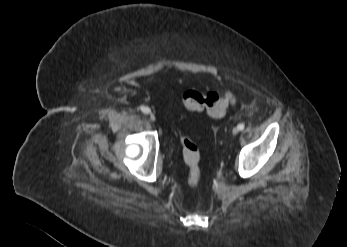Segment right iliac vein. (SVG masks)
<instances>
[{"mask_svg":"<svg viewBox=\"0 0 347 247\" xmlns=\"http://www.w3.org/2000/svg\"><path fill=\"white\" fill-rule=\"evenodd\" d=\"M149 119H150V121H152V122H154V121L156 120L154 114H152V113L149 114Z\"/></svg>","mask_w":347,"mask_h":247,"instance_id":"1","label":"right iliac vein"}]
</instances>
